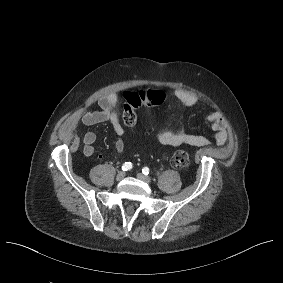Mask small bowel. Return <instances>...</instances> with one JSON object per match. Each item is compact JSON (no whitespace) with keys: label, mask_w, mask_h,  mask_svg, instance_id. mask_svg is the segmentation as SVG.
Here are the masks:
<instances>
[{"label":"small bowel","mask_w":283,"mask_h":283,"mask_svg":"<svg viewBox=\"0 0 283 283\" xmlns=\"http://www.w3.org/2000/svg\"><path fill=\"white\" fill-rule=\"evenodd\" d=\"M174 96L180 106L185 108L193 107L197 104V96L188 93L183 89L174 90ZM118 98L116 94H108L98 100L99 110H84L79 115L71 117L65 125V131L72 134L79 123L86 126H92L103 122H109L116 135L114 149L121 153L125 147L126 132L122 127L117 113ZM206 124L214 131V139L217 145H223L227 141L228 124L220 111H214L205 117ZM156 139L163 145L180 146L183 144L190 146H207L211 142L208 138L201 135L189 134L184 130L159 132ZM83 153L86 157H91L94 152V143L96 141L95 133L89 131L82 135ZM100 158L102 156H99Z\"/></svg>","instance_id":"small-bowel-1"}]
</instances>
